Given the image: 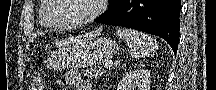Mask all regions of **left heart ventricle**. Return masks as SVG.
I'll return each instance as SVG.
<instances>
[{"instance_id": "obj_1", "label": "left heart ventricle", "mask_w": 216, "mask_h": 90, "mask_svg": "<svg viewBox=\"0 0 216 90\" xmlns=\"http://www.w3.org/2000/svg\"><path fill=\"white\" fill-rule=\"evenodd\" d=\"M66 1L64 10H59L56 19H51L57 25H73L88 16L95 8L96 0H58Z\"/></svg>"}]
</instances>
